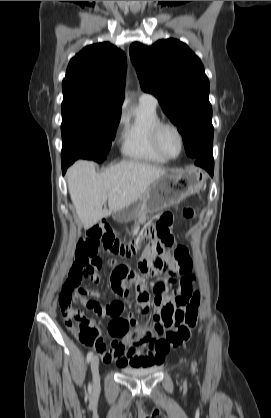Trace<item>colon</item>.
Segmentation results:
<instances>
[{
    "mask_svg": "<svg viewBox=\"0 0 271 418\" xmlns=\"http://www.w3.org/2000/svg\"><path fill=\"white\" fill-rule=\"evenodd\" d=\"M183 214L187 219H192L197 211L193 207H187ZM171 224L172 215L164 214L155 225L147 230L146 237L151 243L161 242L166 248H171L173 245ZM101 246L111 254L122 256H129L135 250L134 244H124L115 236L109 223L104 221L91 226L77 243L74 260L59 295L60 310L66 327L82 344L96 349L104 345L101 331L92 319L73 305V302L81 299L82 291L79 285L83 279L94 282L97 268L101 266L98 258ZM174 259L182 275L184 297L176 300L175 310L165 308L161 314L162 325L156 329L161 336V340L157 343V348L160 350L176 348L186 342L198 319L200 294L185 285L192 279V261L187 249L177 247L174 251Z\"/></svg>",
    "mask_w": 271,
    "mask_h": 418,
    "instance_id": "5ec220e1",
    "label": "colon"
}]
</instances>
